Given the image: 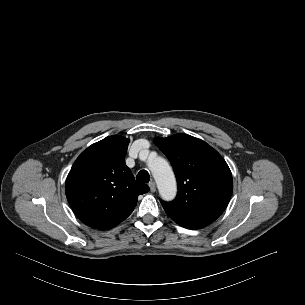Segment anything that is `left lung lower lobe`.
Here are the masks:
<instances>
[{"instance_id":"obj_1","label":"left lung lower lobe","mask_w":305,"mask_h":305,"mask_svg":"<svg viewBox=\"0 0 305 305\" xmlns=\"http://www.w3.org/2000/svg\"><path fill=\"white\" fill-rule=\"evenodd\" d=\"M168 215L177 224H179L182 227H185L187 229L203 228V227L211 224L213 221H215L217 219V218H213V217L193 218V217H184V216H177V215H171V214H168Z\"/></svg>"}]
</instances>
